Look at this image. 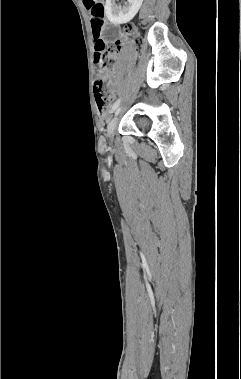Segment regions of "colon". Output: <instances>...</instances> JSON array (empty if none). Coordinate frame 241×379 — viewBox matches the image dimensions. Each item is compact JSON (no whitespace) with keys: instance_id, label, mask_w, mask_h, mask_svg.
<instances>
[{"instance_id":"obj_1","label":"colon","mask_w":241,"mask_h":379,"mask_svg":"<svg viewBox=\"0 0 241 379\" xmlns=\"http://www.w3.org/2000/svg\"><path fill=\"white\" fill-rule=\"evenodd\" d=\"M92 22V31L94 36L95 56L94 63L96 68L95 74V97L96 105L102 118L108 120L110 116V108L113 101L112 92L107 84L108 63L112 59V51L106 47L104 41L100 39L104 24V6L95 0H84ZM126 34L134 32V27L128 25L124 28ZM140 42L139 38L135 39L136 45Z\"/></svg>"}]
</instances>
